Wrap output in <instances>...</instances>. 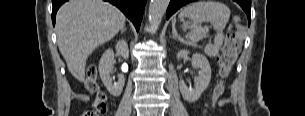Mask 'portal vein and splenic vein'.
<instances>
[{
    "mask_svg": "<svg viewBox=\"0 0 305 116\" xmlns=\"http://www.w3.org/2000/svg\"><path fill=\"white\" fill-rule=\"evenodd\" d=\"M204 28L208 30V27H207V26H205Z\"/></svg>",
    "mask_w": 305,
    "mask_h": 116,
    "instance_id": "1",
    "label": "portal vein and splenic vein"
}]
</instances>
